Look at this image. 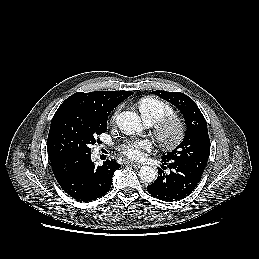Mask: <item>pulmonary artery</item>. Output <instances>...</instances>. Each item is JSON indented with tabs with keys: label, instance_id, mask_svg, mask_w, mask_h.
Masks as SVG:
<instances>
[{
	"label": "pulmonary artery",
	"instance_id": "obj_1",
	"mask_svg": "<svg viewBox=\"0 0 259 259\" xmlns=\"http://www.w3.org/2000/svg\"><path fill=\"white\" fill-rule=\"evenodd\" d=\"M147 126H151L152 124L150 122H145Z\"/></svg>",
	"mask_w": 259,
	"mask_h": 259
}]
</instances>
